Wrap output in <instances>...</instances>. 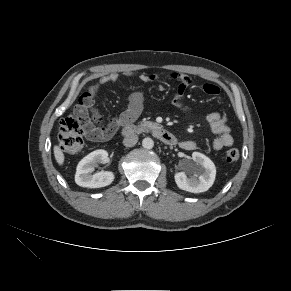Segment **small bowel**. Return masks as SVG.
Here are the masks:
<instances>
[{"label": "small bowel", "mask_w": 291, "mask_h": 291, "mask_svg": "<svg viewBox=\"0 0 291 291\" xmlns=\"http://www.w3.org/2000/svg\"><path fill=\"white\" fill-rule=\"evenodd\" d=\"M119 73H111L100 77L90 87V92L95 96L102 86L108 83H114L121 78ZM124 77L129 79L139 78L142 82H153L157 79L156 74H141L137 75L133 72L123 73ZM171 78L179 83L176 94L173 98V104L183 112H190L191 109L185 105V94L187 89L192 84V79L181 73L171 74ZM206 94L215 96L219 93V87L213 83H205L202 87ZM144 96L140 91H133L128 98V106L119 116L113 119L117 125H126L134 122L141 114L143 110ZM92 116L95 120L99 119L97 112L93 111ZM206 120L210 129L217 135L212 142L214 150H221L225 147H229L233 144V137L230 133V128L227 124V118L218 112H213L207 115ZM112 134L109 131L108 126L92 125L91 131L88 137L95 141H103L110 138ZM180 147L184 150L191 151L196 148V143L192 140H184L180 142Z\"/></svg>", "instance_id": "c3829d8e"}]
</instances>
